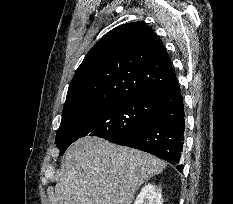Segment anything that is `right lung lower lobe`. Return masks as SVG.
Masks as SVG:
<instances>
[{"instance_id":"1","label":"right lung lower lobe","mask_w":233,"mask_h":204,"mask_svg":"<svg viewBox=\"0 0 233 204\" xmlns=\"http://www.w3.org/2000/svg\"><path fill=\"white\" fill-rule=\"evenodd\" d=\"M155 118L145 126L110 140L113 143L151 153L178 165L183 148L185 113L177 79L151 95Z\"/></svg>"}]
</instances>
